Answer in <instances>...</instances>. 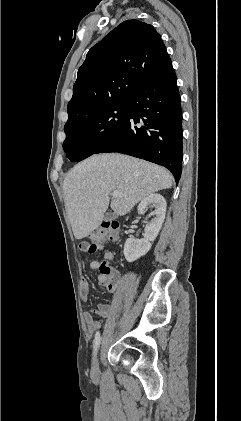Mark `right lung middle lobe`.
<instances>
[{
    "mask_svg": "<svg viewBox=\"0 0 241 421\" xmlns=\"http://www.w3.org/2000/svg\"><path fill=\"white\" fill-rule=\"evenodd\" d=\"M128 109V100L117 102L64 127L63 149L70 161L95 154L124 126Z\"/></svg>",
    "mask_w": 241,
    "mask_h": 421,
    "instance_id": "dd1d6c3e",
    "label": "right lung middle lobe"
}]
</instances>
